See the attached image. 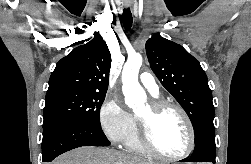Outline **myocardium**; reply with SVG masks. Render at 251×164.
<instances>
[{
	"label": "myocardium",
	"instance_id": "obj_1",
	"mask_svg": "<svg viewBox=\"0 0 251 164\" xmlns=\"http://www.w3.org/2000/svg\"><path fill=\"white\" fill-rule=\"evenodd\" d=\"M150 107L152 109L154 116H157L163 111L168 110V109L177 111L181 115V117L183 118L187 126L188 133H189V144L185 152L178 156H170V155L164 154L162 151H160L157 148V146L155 145L153 141L151 123L149 121L138 118L140 141L143 147L145 148V150L149 154L157 158H160L162 160H166V161H179L188 157L195 149L196 134H195L193 123L189 115L187 114V112L180 105L173 102H169V101H163V100L153 101L150 104Z\"/></svg>",
	"mask_w": 251,
	"mask_h": 164
}]
</instances>
